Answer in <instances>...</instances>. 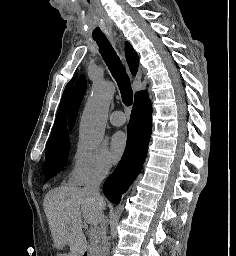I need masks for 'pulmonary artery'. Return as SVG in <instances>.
Masks as SVG:
<instances>
[{
	"label": "pulmonary artery",
	"mask_w": 236,
	"mask_h": 256,
	"mask_svg": "<svg viewBox=\"0 0 236 256\" xmlns=\"http://www.w3.org/2000/svg\"><path fill=\"white\" fill-rule=\"evenodd\" d=\"M120 114H121V112L116 111L110 115L109 120L112 125L121 126L125 123V118L118 116Z\"/></svg>",
	"instance_id": "pulmonary-artery-1"
}]
</instances>
